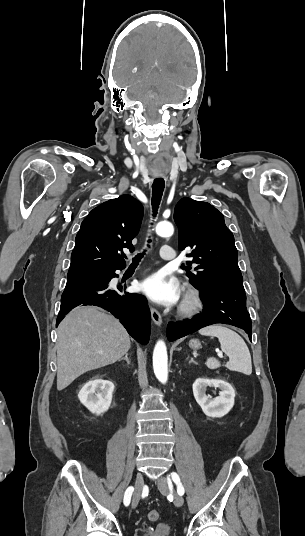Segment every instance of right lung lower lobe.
I'll return each mask as SVG.
<instances>
[{"label": "right lung lower lobe", "mask_w": 305, "mask_h": 536, "mask_svg": "<svg viewBox=\"0 0 305 536\" xmlns=\"http://www.w3.org/2000/svg\"><path fill=\"white\" fill-rule=\"evenodd\" d=\"M95 280L67 281L61 297V307L56 325L73 308L80 305L100 306L120 320L128 333L139 343L146 345L151 329V315L144 297L131 293L119 294L122 287L111 288L109 282ZM126 286H124V290Z\"/></svg>", "instance_id": "1"}]
</instances>
